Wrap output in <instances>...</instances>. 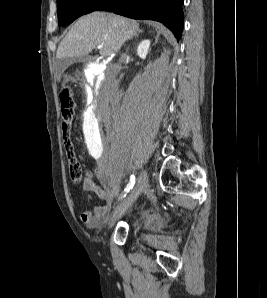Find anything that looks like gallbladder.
<instances>
[{"mask_svg":"<svg viewBox=\"0 0 267 298\" xmlns=\"http://www.w3.org/2000/svg\"><path fill=\"white\" fill-rule=\"evenodd\" d=\"M88 56H82L79 58H63V59H58L57 60V65H56V70L58 73H62L66 68H68L72 63L75 61H83L85 62L88 60Z\"/></svg>","mask_w":267,"mask_h":298,"instance_id":"obj_1","label":"gallbladder"}]
</instances>
